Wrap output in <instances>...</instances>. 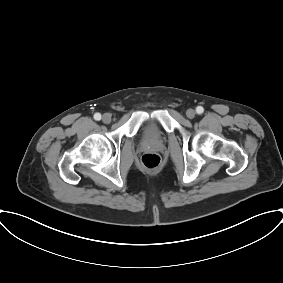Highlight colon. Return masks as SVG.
Listing matches in <instances>:
<instances>
[{
  "label": "colon",
  "mask_w": 283,
  "mask_h": 283,
  "mask_svg": "<svg viewBox=\"0 0 283 283\" xmlns=\"http://www.w3.org/2000/svg\"><path fill=\"white\" fill-rule=\"evenodd\" d=\"M161 164V158L155 153H146L141 158V165L146 170H155Z\"/></svg>",
  "instance_id": "colon-1"
}]
</instances>
